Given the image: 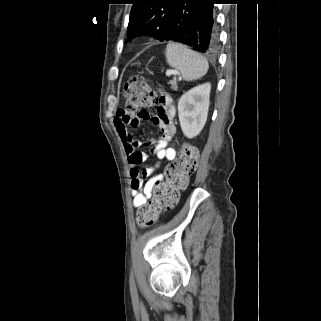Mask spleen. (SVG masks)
Listing matches in <instances>:
<instances>
[{"instance_id": "3e777b00", "label": "spleen", "mask_w": 321, "mask_h": 321, "mask_svg": "<svg viewBox=\"0 0 321 321\" xmlns=\"http://www.w3.org/2000/svg\"><path fill=\"white\" fill-rule=\"evenodd\" d=\"M165 57L168 65L178 70L185 81H194L203 77L209 68L205 57L181 43H168Z\"/></svg>"}]
</instances>
